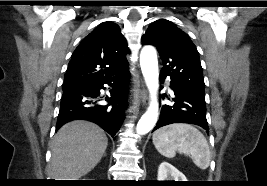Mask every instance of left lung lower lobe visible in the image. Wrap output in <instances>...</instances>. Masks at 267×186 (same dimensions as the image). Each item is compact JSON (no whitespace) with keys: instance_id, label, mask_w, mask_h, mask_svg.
Segmentation results:
<instances>
[{"instance_id":"left-lung-lower-lobe-1","label":"left lung lower lobe","mask_w":267,"mask_h":186,"mask_svg":"<svg viewBox=\"0 0 267 186\" xmlns=\"http://www.w3.org/2000/svg\"><path fill=\"white\" fill-rule=\"evenodd\" d=\"M161 81L167 76L160 74ZM175 97L174 105H163L156 129L172 123H188L209 130L206 119L205 94L196 92L178 82L170 81ZM165 97L164 95L162 96Z\"/></svg>"}]
</instances>
